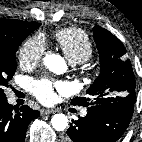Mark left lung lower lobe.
<instances>
[{
    "label": "left lung lower lobe",
    "mask_w": 142,
    "mask_h": 142,
    "mask_svg": "<svg viewBox=\"0 0 142 142\" xmlns=\"http://www.w3.org/2000/svg\"><path fill=\"white\" fill-rule=\"evenodd\" d=\"M131 101L93 105L67 130L64 142H116L126 131L134 110Z\"/></svg>",
    "instance_id": "obj_1"
}]
</instances>
